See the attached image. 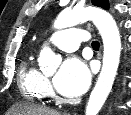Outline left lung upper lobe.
Here are the masks:
<instances>
[{
	"mask_svg": "<svg viewBox=\"0 0 131 115\" xmlns=\"http://www.w3.org/2000/svg\"><path fill=\"white\" fill-rule=\"evenodd\" d=\"M92 4L104 9H109L108 0H92Z\"/></svg>",
	"mask_w": 131,
	"mask_h": 115,
	"instance_id": "obj_1",
	"label": "left lung upper lobe"
}]
</instances>
